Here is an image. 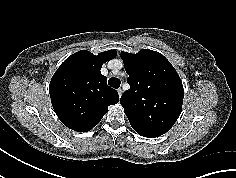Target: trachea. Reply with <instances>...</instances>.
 Listing matches in <instances>:
<instances>
[{
  "instance_id": "obj_1",
  "label": "trachea",
  "mask_w": 236,
  "mask_h": 178,
  "mask_svg": "<svg viewBox=\"0 0 236 178\" xmlns=\"http://www.w3.org/2000/svg\"><path fill=\"white\" fill-rule=\"evenodd\" d=\"M108 84H109L111 87L117 89V88L120 87L121 81H120V79H118V78L112 77V78H110V79L108 80Z\"/></svg>"
}]
</instances>
